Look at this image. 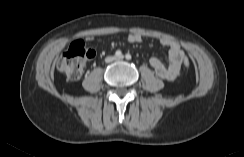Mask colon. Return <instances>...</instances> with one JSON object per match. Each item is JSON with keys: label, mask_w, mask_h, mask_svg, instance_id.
I'll return each mask as SVG.
<instances>
[{"label": "colon", "mask_w": 244, "mask_h": 157, "mask_svg": "<svg viewBox=\"0 0 244 157\" xmlns=\"http://www.w3.org/2000/svg\"><path fill=\"white\" fill-rule=\"evenodd\" d=\"M94 51L87 48L83 41H74L57 61V69L63 73L68 79L77 80L84 69L86 62L93 58ZM191 61L188 57H184L183 65L189 67Z\"/></svg>", "instance_id": "colon-1"}]
</instances>
